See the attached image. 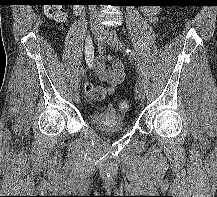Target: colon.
<instances>
[{
  "mask_svg": "<svg viewBox=\"0 0 217 197\" xmlns=\"http://www.w3.org/2000/svg\"><path fill=\"white\" fill-rule=\"evenodd\" d=\"M43 2H45L44 7L48 17L58 23L66 21V11L60 4L56 3V0H43ZM85 91L87 94H92L94 99H101L104 96V91L102 89L94 87L89 83L85 84ZM118 107L121 112H128L131 108V103L128 100H121L118 103Z\"/></svg>",
  "mask_w": 217,
  "mask_h": 197,
  "instance_id": "5ec220e1",
  "label": "colon"
}]
</instances>
